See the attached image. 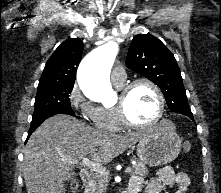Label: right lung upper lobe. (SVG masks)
<instances>
[{
  "mask_svg": "<svg viewBox=\"0 0 221 193\" xmlns=\"http://www.w3.org/2000/svg\"><path fill=\"white\" fill-rule=\"evenodd\" d=\"M82 51L83 42L78 38H69L61 43L47 61L38 87L74 85Z\"/></svg>",
  "mask_w": 221,
  "mask_h": 193,
  "instance_id": "cb5924a9",
  "label": "right lung upper lobe"
}]
</instances>
